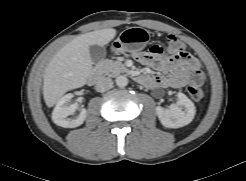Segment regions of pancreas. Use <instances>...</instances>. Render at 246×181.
Instances as JSON below:
<instances>
[{"mask_svg": "<svg viewBox=\"0 0 246 181\" xmlns=\"http://www.w3.org/2000/svg\"><path fill=\"white\" fill-rule=\"evenodd\" d=\"M98 69L102 74L112 77L117 76L120 73L127 72V68L120 61H114L109 59L101 61Z\"/></svg>", "mask_w": 246, "mask_h": 181, "instance_id": "obj_1", "label": "pancreas"}]
</instances>
